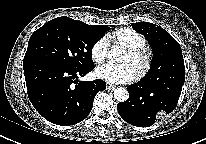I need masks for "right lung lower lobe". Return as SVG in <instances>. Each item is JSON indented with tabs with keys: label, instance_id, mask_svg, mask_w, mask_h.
<instances>
[{
	"label": "right lung lower lobe",
	"instance_id": "98d812e1",
	"mask_svg": "<svg viewBox=\"0 0 206 144\" xmlns=\"http://www.w3.org/2000/svg\"><path fill=\"white\" fill-rule=\"evenodd\" d=\"M29 99L49 122L69 126L83 121L90 113L97 92L106 89L103 80L79 81L94 69H72L45 60L23 62Z\"/></svg>",
	"mask_w": 206,
	"mask_h": 144
}]
</instances>
